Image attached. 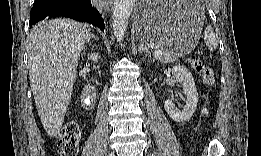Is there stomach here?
<instances>
[{"instance_id": "0dacf381", "label": "stomach", "mask_w": 261, "mask_h": 156, "mask_svg": "<svg viewBox=\"0 0 261 156\" xmlns=\"http://www.w3.org/2000/svg\"><path fill=\"white\" fill-rule=\"evenodd\" d=\"M134 22L138 34L148 43L183 56L198 43L204 10L198 2L144 1L134 11Z\"/></svg>"}]
</instances>
